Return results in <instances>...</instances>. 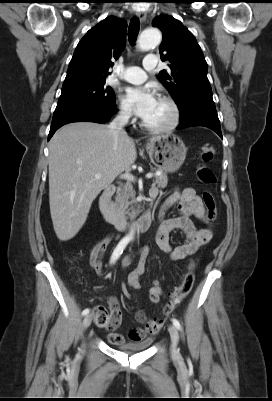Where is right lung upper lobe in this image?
Returning a JSON list of instances; mask_svg holds the SVG:
<instances>
[{
  "label": "right lung upper lobe",
  "instance_id": "1",
  "mask_svg": "<svg viewBox=\"0 0 272 401\" xmlns=\"http://www.w3.org/2000/svg\"><path fill=\"white\" fill-rule=\"evenodd\" d=\"M126 31V22L114 16L90 29L75 49L62 90L106 80L125 48Z\"/></svg>",
  "mask_w": 272,
  "mask_h": 401
}]
</instances>
